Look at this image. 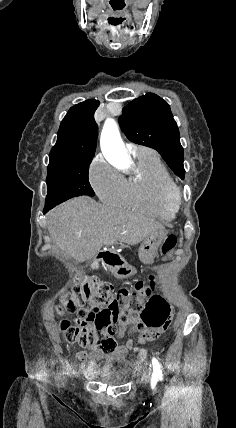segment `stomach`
I'll list each match as a JSON object with an SVG mask.
<instances>
[{
	"mask_svg": "<svg viewBox=\"0 0 236 428\" xmlns=\"http://www.w3.org/2000/svg\"><path fill=\"white\" fill-rule=\"evenodd\" d=\"M166 234L163 232H155L143 240L139 250L138 256L142 262H153L154 258L158 256V248L161 246ZM118 279H135L136 271L132 270L130 265L117 266L116 268Z\"/></svg>",
	"mask_w": 236,
	"mask_h": 428,
	"instance_id": "0dacf381",
	"label": "stomach"
}]
</instances>
